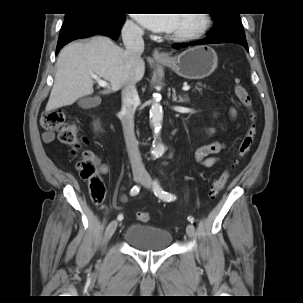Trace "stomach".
Returning a JSON list of instances; mask_svg holds the SVG:
<instances>
[{"label": "stomach", "instance_id": "1", "mask_svg": "<svg viewBox=\"0 0 303 303\" xmlns=\"http://www.w3.org/2000/svg\"><path fill=\"white\" fill-rule=\"evenodd\" d=\"M158 63L169 67L185 79H203L216 69L218 57L211 47L201 45L189 48L178 56Z\"/></svg>", "mask_w": 303, "mask_h": 303}]
</instances>
